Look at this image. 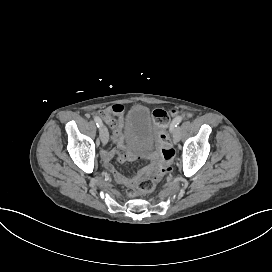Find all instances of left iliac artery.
I'll return each instance as SVG.
<instances>
[{"mask_svg": "<svg viewBox=\"0 0 272 272\" xmlns=\"http://www.w3.org/2000/svg\"><path fill=\"white\" fill-rule=\"evenodd\" d=\"M181 120H182V117H181V116L176 117V118L172 121V123H171V125H170V131H172L175 127H177V126L179 125V123L181 122Z\"/></svg>", "mask_w": 272, "mask_h": 272, "instance_id": "obj_1", "label": "left iliac artery"}]
</instances>
